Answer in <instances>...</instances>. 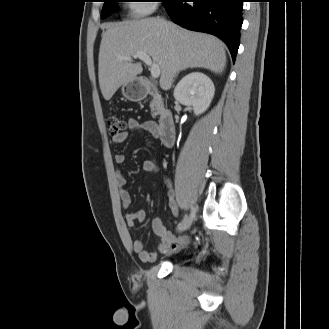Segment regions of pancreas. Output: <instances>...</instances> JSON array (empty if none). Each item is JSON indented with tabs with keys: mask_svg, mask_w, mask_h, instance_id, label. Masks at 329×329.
Returning a JSON list of instances; mask_svg holds the SVG:
<instances>
[{
	"mask_svg": "<svg viewBox=\"0 0 329 329\" xmlns=\"http://www.w3.org/2000/svg\"><path fill=\"white\" fill-rule=\"evenodd\" d=\"M150 108H151V114L152 117H156L159 114V107H158V103L155 100H152L150 102Z\"/></svg>",
	"mask_w": 329,
	"mask_h": 329,
	"instance_id": "pancreas-1",
	"label": "pancreas"
}]
</instances>
